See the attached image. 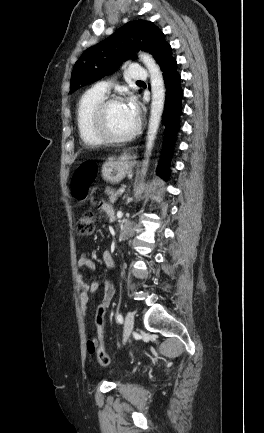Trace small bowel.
Wrapping results in <instances>:
<instances>
[{"instance_id":"1","label":"small bowel","mask_w":264,"mask_h":433,"mask_svg":"<svg viewBox=\"0 0 264 433\" xmlns=\"http://www.w3.org/2000/svg\"><path fill=\"white\" fill-rule=\"evenodd\" d=\"M98 209L107 214L108 217L113 220L114 219V210L111 207L110 204H108L105 201H101L98 204ZM105 264L109 268L116 267V260L111 252H105L103 256ZM78 265L81 268H87V269H94L95 264L94 262L89 258V256L86 253H82L78 258ZM77 283L81 290L80 293V307L81 311L84 315L87 314L88 311V305L90 301V297L92 294L96 293L98 289L103 288L104 290V298L103 301L108 306L113 295H114V286L108 281V280H98L94 281L91 284H87L83 277L79 274L77 276ZM99 347V341L97 338H90L87 341V351L89 354L93 355L97 352V349Z\"/></svg>"}]
</instances>
